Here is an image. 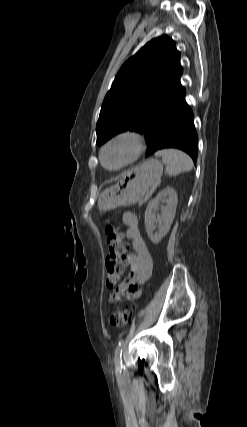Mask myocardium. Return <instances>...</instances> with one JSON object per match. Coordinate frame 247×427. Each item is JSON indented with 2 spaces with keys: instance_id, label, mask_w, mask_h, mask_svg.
Returning a JSON list of instances; mask_svg holds the SVG:
<instances>
[{
  "instance_id": "1",
  "label": "myocardium",
  "mask_w": 247,
  "mask_h": 427,
  "mask_svg": "<svg viewBox=\"0 0 247 427\" xmlns=\"http://www.w3.org/2000/svg\"><path fill=\"white\" fill-rule=\"evenodd\" d=\"M121 142H127L130 144L131 153L129 157L124 162H122L121 164L115 167L107 166L104 162L105 151L111 146ZM143 149H144V141L142 136L136 131L125 130V131L116 133L102 145L99 151V160L101 165L105 169L109 171H118L134 163L141 156Z\"/></svg>"
}]
</instances>
